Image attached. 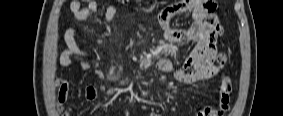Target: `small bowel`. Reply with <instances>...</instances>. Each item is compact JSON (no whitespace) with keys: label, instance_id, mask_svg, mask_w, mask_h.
I'll use <instances>...</instances> for the list:
<instances>
[{"label":"small bowel","instance_id":"1","mask_svg":"<svg viewBox=\"0 0 283 116\" xmlns=\"http://www.w3.org/2000/svg\"><path fill=\"white\" fill-rule=\"evenodd\" d=\"M192 8V21L186 28L178 29L170 26V19L181 12ZM216 8L215 1L211 0H181L162 11V24L165 29L164 38L167 42H195V47L180 66L167 58H160L156 66L163 73L171 74L173 77L185 84H193L209 80L215 76L220 77L219 87V106L230 101V80L220 74L223 64L215 63L217 54V40L223 35V29L214 13ZM69 9L75 19L83 21L97 14V4L90 1L82 7L78 1H71ZM117 10L114 6L106 8L101 16V20L108 22L114 18ZM75 28H68L64 33L65 49L59 55V64L62 67H70L74 64L75 58L83 59L82 69L88 68V53L83 51L76 41ZM171 47H166L165 51ZM65 85H69L66 81ZM86 96L90 101L97 100V90L93 86L86 88ZM72 109L68 110L69 115ZM127 115V114H126ZM150 116H157L150 113ZM183 115H186L183 113ZM192 115L194 116H219L215 109L207 106L199 108Z\"/></svg>","mask_w":283,"mask_h":116}]
</instances>
